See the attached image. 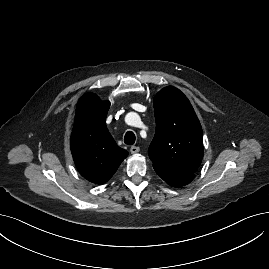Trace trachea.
Listing matches in <instances>:
<instances>
[{
  "label": "trachea",
  "mask_w": 269,
  "mask_h": 269,
  "mask_svg": "<svg viewBox=\"0 0 269 269\" xmlns=\"http://www.w3.org/2000/svg\"><path fill=\"white\" fill-rule=\"evenodd\" d=\"M135 140H136V137H135V134L132 131H128L125 134V137H124V143L125 144L133 145L135 143Z\"/></svg>",
  "instance_id": "3493384b"
}]
</instances>
